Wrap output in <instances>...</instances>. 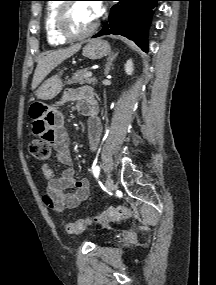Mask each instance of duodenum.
Segmentation results:
<instances>
[{
    "label": "duodenum",
    "mask_w": 216,
    "mask_h": 285,
    "mask_svg": "<svg viewBox=\"0 0 216 285\" xmlns=\"http://www.w3.org/2000/svg\"><path fill=\"white\" fill-rule=\"evenodd\" d=\"M91 113H92V114H95V109H92V110H91Z\"/></svg>",
    "instance_id": "1"
}]
</instances>
